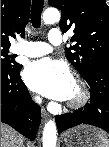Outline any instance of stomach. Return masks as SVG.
Returning <instances> with one entry per match:
<instances>
[{
    "instance_id": "0dacf381",
    "label": "stomach",
    "mask_w": 109,
    "mask_h": 147,
    "mask_svg": "<svg viewBox=\"0 0 109 147\" xmlns=\"http://www.w3.org/2000/svg\"><path fill=\"white\" fill-rule=\"evenodd\" d=\"M101 130L90 125H79L67 130L64 135L66 147H100Z\"/></svg>"
}]
</instances>
